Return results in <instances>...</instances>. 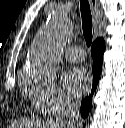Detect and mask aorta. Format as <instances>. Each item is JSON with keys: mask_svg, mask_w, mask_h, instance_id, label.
I'll use <instances>...</instances> for the list:
<instances>
[{"mask_svg": "<svg viewBox=\"0 0 125 128\" xmlns=\"http://www.w3.org/2000/svg\"><path fill=\"white\" fill-rule=\"evenodd\" d=\"M71 33L72 25L64 17H53L44 28L40 29L28 58L38 76L51 78L55 75L62 48Z\"/></svg>", "mask_w": 125, "mask_h": 128, "instance_id": "aorta-1", "label": "aorta"}]
</instances>
